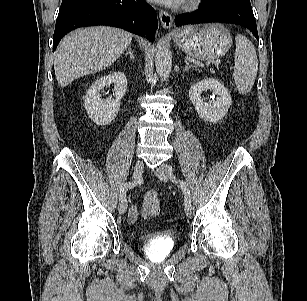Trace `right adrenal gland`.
Instances as JSON below:
<instances>
[{
  "label": "right adrenal gland",
  "mask_w": 307,
  "mask_h": 301,
  "mask_svg": "<svg viewBox=\"0 0 307 301\" xmlns=\"http://www.w3.org/2000/svg\"><path fill=\"white\" fill-rule=\"evenodd\" d=\"M125 55H126V56L129 55V57H130L133 61H135V58H134V55H133V51H132V49H131V46H129L128 52H127Z\"/></svg>",
  "instance_id": "obj_1"
}]
</instances>
